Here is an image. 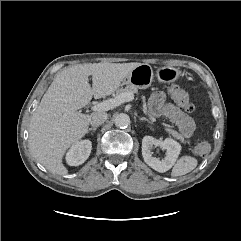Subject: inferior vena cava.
<instances>
[{
  "label": "inferior vena cava",
  "instance_id": "1",
  "mask_svg": "<svg viewBox=\"0 0 241 241\" xmlns=\"http://www.w3.org/2000/svg\"><path fill=\"white\" fill-rule=\"evenodd\" d=\"M108 118L107 113L103 111L93 112L90 115L89 122L93 127H98L102 125Z\"/></svg>",
  "mask_w": 241,
  "mask_h": 241
}]
</instances>
